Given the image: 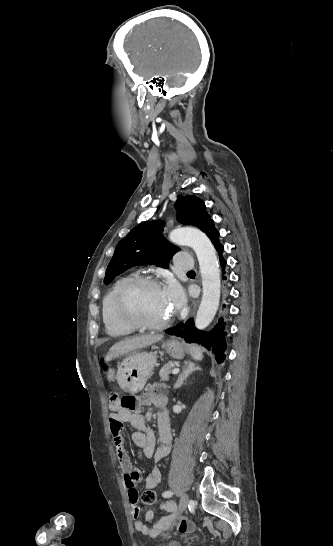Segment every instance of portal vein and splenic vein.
Returning a JSON list of instances; mask_svg holds the SVG:
<instances>
[{"mask_svg":"<svg viewBox=\"0 0 333 546\" xmlns=\"http://www.w3.org/2000/svg\"><path fill=\"white\" fill-rule=\"evenodd\" d=\"M179 371H180L179 368H174L172 370V374H177V373H179Z\"/></svg>","mask_w":333,"mask_h":546,"instance_id":"18ae733b","label":"portal vein and splenic vein"}]
</instances>
